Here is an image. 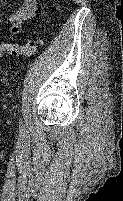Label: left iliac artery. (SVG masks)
<instances>
[{"label": "left iliac artery", "mask_w": 123, "mask_h": 201, "mask_svg": "<svg viewBox=\"0 0 123 201\" xmlns=\"http://www.w3.org/2000/svg\"><path fill=\"white\" fill-rule=\"evenodd\" d=\"M24 131H25V129H24V127H23V125H22V122H21V120H20V132L23 133Z\"/></svg>", "instance_id": "44dca946"}]
</instances>
